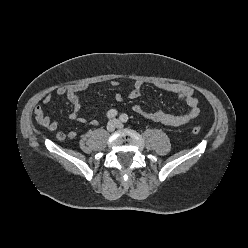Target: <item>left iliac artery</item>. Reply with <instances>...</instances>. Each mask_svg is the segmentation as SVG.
I'll return each instance as SVG.
<instances>
[{"label":"left iliac artery","instance_id":"left-iliac-artery-1","mask_svg":"<svg viewBox=\"0 0 248 248\" xmlns=\"http://www.w3.org/2000/svg\"><path fill=\"white\" fill-rule=\"evenodd\" d=\"M120 120L124 123L128 122V120H129L128 115L127 114H121Z\"/></svg>","mask_w":248,"mask_h":248}]
</instances>
